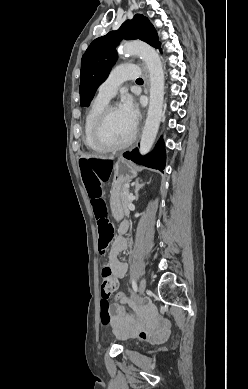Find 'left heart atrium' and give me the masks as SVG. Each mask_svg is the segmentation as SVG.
Returning <instances> with one entry per match:
<instances>
[{"mask_svg":"<svg viewBox=\"0 0 248 389\" xmlns=\"http://www.w3.org/2000/svg\"><path fill=\"white\" fill-rule=\"evenodd\" d=\"M119 108L126 119L135 127L138 118V109L133 98L125 95Z\"/></svg>","mask_w":248,"mask_h":389,"instance_id":"left-heart-atrium-1","label":"left heart atrium"}]
</instances>
